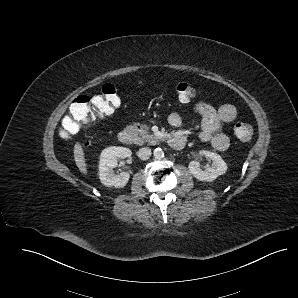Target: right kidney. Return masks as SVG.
<instances>
[{
    "label": "right kidney",
    "mask_w": 298,
    "mask_h": 298,
    "mask_svg": "<svg viewBox=\"0 0 298 298\" xmlns=\"http://www.w3.org/2000/svg\"><path fill=\"white\" fill-rule=\"evenodd\" d=\"M132 151L126 147L111 146L102 150L99 160V178L103 185L107 187H124L130 178L128 172L115 174L113 169L117 167V159L129 158Z\"/></svg>",
    "instance_id": "1"
}]
</instances>
